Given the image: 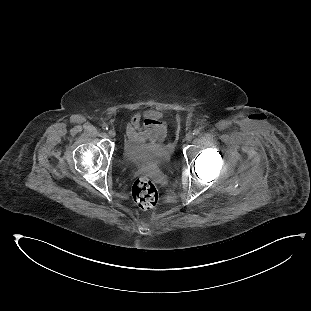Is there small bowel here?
<instances>
[{"label":"small bowel","mask_w":311,"mask_h":311,"mask_svg":"<svg viewBox=\"0 0 311 311\" xmlns=\"http://www.w3.org/2000/svg\"><path fill=\"white\" fill-rule=\"evenodd\" d=\"M165 135L166 124L154 111L134 113L127 125V136L131 146L144 142H160Z\"/></svg>","instance_id":"obj_1"}]
</instances>
